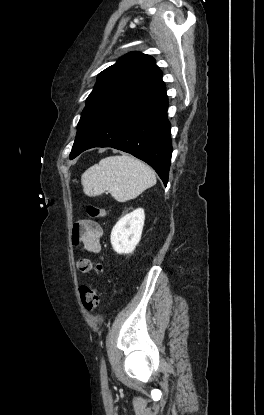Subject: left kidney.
I'll use <instances>...</instances> for the list:
<instances>
[{"label": "left kidney", "mask_w": 264, "mask_h": 415, "mask_svg": "<svg viewBox=\"0 0 264 415\" xmlns=\"http://www.w3.org/2000/svg\"><path fill=\"white\" fill-rule=\"evenodd\" d=\"M145 213L138 208L118 220L111 231V244L118 254L132 253L141 239Z\"/></svg>", "instance_id": "1"}]
</instances>
